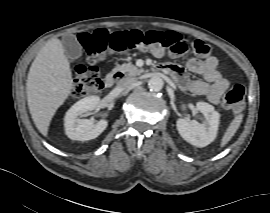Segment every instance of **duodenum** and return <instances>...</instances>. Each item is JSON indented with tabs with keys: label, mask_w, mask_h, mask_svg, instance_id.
<instances>
[{
	"label": "duodenum",
	"mask_w": 270,
	"mask_h": 213,
	"mask_svg": "<svg viewBox=\"0 0 270 213\" xmlns=\"http://www.w3.org/2000/svg\"><path fill=\"white\" fill-rule=\"evenodd\" d=\"M124 78H125L124 73L120 71L111 72L104 78L103 86L104 88H111Z\"/></svg>",
	"instance_id": "410a0bca"
}]
</instances>
